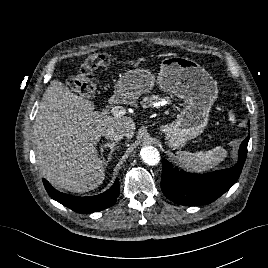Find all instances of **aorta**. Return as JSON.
<instances>
[{
  "instance_id": "1",
  "label": "aorta",
  "mask_w": 268,
  "mask_h": 268,
  "mask_svg": "<svg viewBox=\"0 0 268 268\" xmlns=\"http://www.w3.org/2000/svg\"><path fill=\"white\" fill-rule=\"evenodd\" d=\"M140 156L144 163L154 166L160 161V154L157 148L153 146H145L140 150Z\"/></svg>"
}]
</instances>
